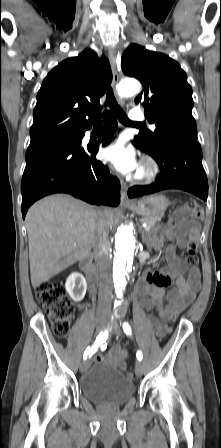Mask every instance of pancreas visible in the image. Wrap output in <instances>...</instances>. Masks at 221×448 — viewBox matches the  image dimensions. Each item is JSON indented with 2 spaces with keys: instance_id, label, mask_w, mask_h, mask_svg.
I'll return each mask as SVG.
<instances>
[{
  "instance_id": "1",
  "label": "pancreas",
  "mask_w": 221,
  "mask_h": 448,
  "mask_svg": "<svg viewBox=\"0 0 221 448\" xmlns=\"http://www.w3.org/2000/svg\"><path fill=\"white\" fill-rule=\"evenodd\" d=\"M163 215L159 216H151V217H143L140 219L142 223L148 224L149 228H153L158 222L161 221Z\"/></svg>"
}]
</instances>
